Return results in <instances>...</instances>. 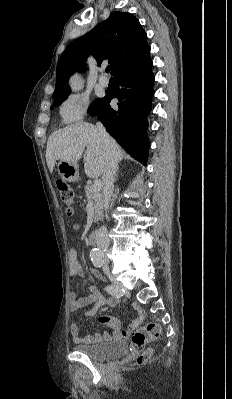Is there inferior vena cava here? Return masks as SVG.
<instances>
[{
  "label": "inferior vena cava",
  "instance_id": "602c4592",
  "mask_svg": "<svg viewBox=\"0 0 232 399\" xmlns=\"http://www.w3.org/2000/svg\"><path fill=\"white\" fill-rule=\"evenodd\" d=\"M96 128L101 136V140H103L106 146H111V138L109 134H107L104 126L97 122ZM118 166V160L115 156L114 150H109V154L106 160L105 170H103V194H104V201L105 207H108V203L111 198V194L113 192V184H114V176L116 174V168ZM106 227H101L97 233L96 241H97V248L102 249L103 252H108L111 248V241H106L107 235H104ZM106 263L110 262L109 258L105 259Z\"/></svg>",
  "mask_w": 232,
  "mask_h": 399
}]
</instances>
